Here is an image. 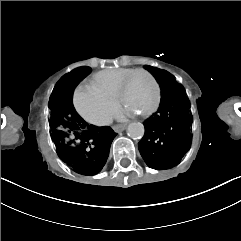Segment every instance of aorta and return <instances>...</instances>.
Here are the masks:
<instances>
[{
	"mask_svg": "<svg viewBox=\"0 0 241 241\" xmlns=\"http://www.w3.org/2000/svg\"><path fill=\"white\" fill-rule=\"evenodd\" d=\"M145 128L142 123L133 122L128 125L127 134L132 139H141L144 136Z\"/></svg>",
	"mask_w": 241,
	"mask_h": 241,
	"instance_id": "aorta-1",
	"label": "aorta"
}]
</instances>
